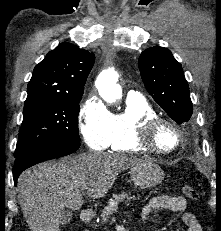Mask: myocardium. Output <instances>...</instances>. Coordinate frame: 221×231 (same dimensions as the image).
<instances>
[{
	"label": "myocardium",
	"instance_id": "f54148a6",
	"mask_svg": "<svg viewBox=\"0 0 221 231\" xmlns=\"http://www.w3.org/2000/svg\"><path fill=\"white\" fill-rule=\"evenodd\" d=\"M164 126L170 128L175 134V143L168 149L160 148L155 141L157 132ZM137 128V142L147 151L154 154H170L178 149L182 141L181 130L178 125H176L173 121L161 116H147L138 123Z\"/></svg>",
	"mask_w": 221,
	"mask_h": 231
}]
</instances>
